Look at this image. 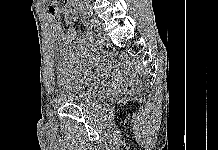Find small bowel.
Listing matches in <instances>:
<instances>
[{
  "instance_id": "obj_1",
  "label": "small bowel",
  "mask_w": 218,
  "mask_h": 150,
  "mask_svg": "<svg viewBox=\"0 0 218 150\" xmlns=\"http://www.w3.org/2000/svg\"><path fill=\"white\" fill-rule=\"evenodd\" d=\"M64 4L71 8L70 11H66L65 9L57 6L56 4L52 3L47 8V20L49 23L50 31L55 39H63V36L65 34V31L62 30L60 26V15L62 13H65V16L67 14H72L74 16V22L77 20L78 13L82 10V5L80 3V0H64Z\"/></svg>"
}]
</instances>
